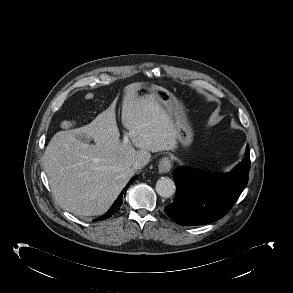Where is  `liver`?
I'll return each mask as SVG.
<instances>
[{
  "mask_svg": "<svg viewBox=\"0 0 293 293\" xmlns=\"http://www.w3.org/2000/svg\"><path fill=\"white\" fill-rule=\"evenodd\" d=\"M141 86L133 83L125 87L121 115L138 150L120 141L116 100L91 123L59 131L50 140L43 169L55 200L64 210L78 216L104 214L135 174V161L150 158V152L177 148L172 116L154 95L138 98L136 89ZM78 135L93 139L95 145L78 140Z\"/></svg>",
  "mask_w": 293,
  "mask_h": 293,
  "instance_id": "liver-1",
  "label": "liver"
}]
</instances>
